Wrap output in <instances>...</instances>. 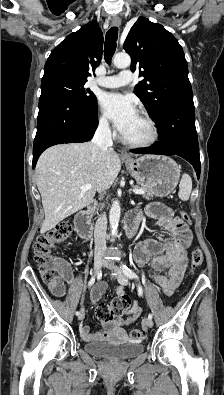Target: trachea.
<instances>
[{
    "label": "trachea",
    "mask_w": 224,
    "mask_h": 395,
    "mask_svg": "<svg viewBox=\"0 0 224 395\" xmlns=\"http://www.w3.org/2000/svg\"><path fill=\"white\" fill-rule=\"evenodd\" d=\"M117 38L118 28L115 26L111 27V29L106 33L104 45V59L108 64L111 63L112 56L115 53Z\"/></svg>",
    "instance_id": "obj_1"
}]
</instances>
